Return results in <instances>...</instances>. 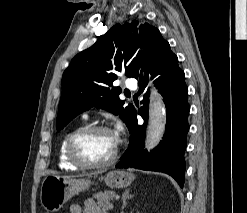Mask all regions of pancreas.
<instances>
[{
	"label": "pancreas",
	"instance_id": "pancreas-1",
	"mask_svg": "<svg viewBox=\"0 0 247 213\" xmlns=\"http://www.w3.org/2000/svg\"><path fill=\"white\" fill-rule=\"evenodd\" d=\"M114 196L115 193L113 191H104L95 194L93 198L97 200V204L100 208L106 210L108 208L107 205Z\"/></svg>",
	"mask_w": 247,
	"mask_h": 213
}]
</instances>
